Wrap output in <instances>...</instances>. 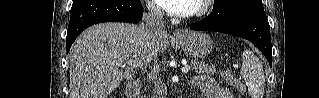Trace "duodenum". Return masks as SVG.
<instances>
[{"label": "duodenum", "instance_id": "1", "mask_svg": "<svg viewBox=\"0 0 319 98\" xmlns=\"http://www.w3.org/2000/svg\"><path fill=\"white\" fill-rule=\"evenodd\" d=\"M140 83L138 81H130L126 86V97L127 98H143L140 93Z\"/></svg>", "mask_w": 319, "mask_h": 98}]
</instances>
